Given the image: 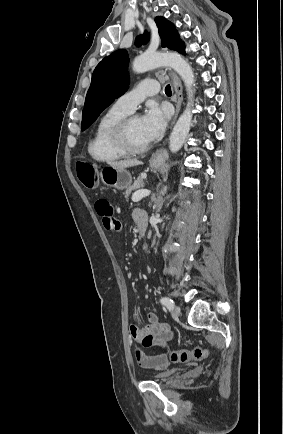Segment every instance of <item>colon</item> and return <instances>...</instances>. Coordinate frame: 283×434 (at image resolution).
<instances>
[{
	"mask_svg": "<svg viewBox=\"0 0 283 434\" xmlns=\"http://www.w3.org/2000/svg\"><path fill=\"white\" fill-rule=\"evenodd\" d=\"M77 175L81 183L88 189H94L98 185V176L96 169L87 163L77 165ZM208 356V350L202 347H196L192 350L179 349L170 352L169 357L173 362L186 363L192 360H203Z\"/></svg>",
	"mask_w": 283,
	"mask_h": 434,
	"instance_id": "colon-1",
	"label": "colon"
}]
</instances>
